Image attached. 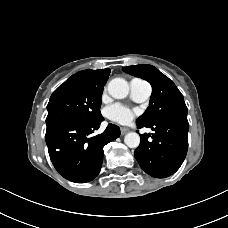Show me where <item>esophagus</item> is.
Instances as JSON below:
<instances>
[{"mask_svg":"<svg viewBox=\"0 0 228 228\" xmlns=\"http://www.w3.org/2000/svg\"><path fill=\"white\" fill-rule=\"evenodd\" d=\"M121 134L122 135H125L126 133H128L129 132V129L128 128H126V127H121Z\"/></svg>","mask_w":228,"mask_h":228,"instance_id":"34e87169","label":"esophagus"}]
</instances>
